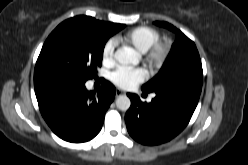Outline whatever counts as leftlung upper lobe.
I'll return each mask as SVG.
<instances>
[{"mask_svg":"<svg viewBox=\"0 0 248 165\" xmlns=\"http://www.w3.org/2000/svg\"><path fill=\"white\" fill-rule=\"evenodd\" d=\"M176 34L170 54L159 73L142 86L144 92L201 93L203 70L198 50L192 40L167 22H155Z\"/></svg>","mask_w":248,"mask_h":165,"instance_id":"left-lung-upper-lobe-1","label":"left lung upper lobe"}]
</instances>
